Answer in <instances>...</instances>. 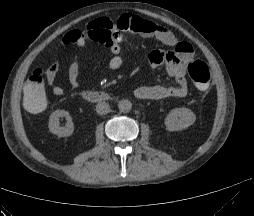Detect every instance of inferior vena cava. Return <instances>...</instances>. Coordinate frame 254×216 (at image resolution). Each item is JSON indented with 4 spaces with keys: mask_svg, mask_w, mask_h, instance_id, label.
<instances>
[{
    "mask_svg": "<svg viewBox=\"0 0 254 216\" xmlns=\"http://www.w3.org/2000/svg\"><path fill=\"white\" fill-rule=\"evenodd\" d=\"M96 112L99 115H104L110 112V106L107 102L101 101L96 105Z\"/></svg>",
    "mask_w": 254,
    "mask_h": 216,
    "instance_id": "602c4592",
    "label": "inferior vena cava"
}]
</instances>
